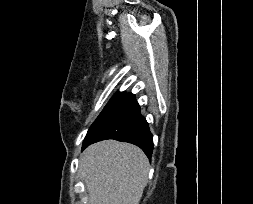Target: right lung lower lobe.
Masks as SVG:
<instances>
[{
	"mask_svg": "<svg viewBox=\"0 0 253 204\" xmlns=\"http://www.w3.org/2000/svg\"><path fill=\"white\" fill-rule=\"evenodd\" d=\"M106 139L137 145L151 159L153 136L147 121L140 113V106L134 95L126 99L94 130L83 143L82 151L90 144Z\"/></svg>",
	"mask_w": 253,
	"mask_h": 204,
	"instance_id": "right-lung-lower-lobe-1",
	"label": "right lung lower lobe"
}]
</instances>
